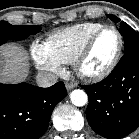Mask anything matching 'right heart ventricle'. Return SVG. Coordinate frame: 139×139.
I'll list each match as a JSON object with an SVG mask.
<instances>
[{"mask_svg":"<svg viewBox=\"0 0 139 139\" xmlns=\"http://www.w3.org/2000/svg\"><path fill=\"white\" fill-rule=\"evenodd\" d=\"M103 24L85 22L51 33L44 45L60 63L72 64L87 39Z\"/></svg>","mask_w":139,"mask_h":139,"instance_id":"e07e8e85","label":"right heart ventricle"}]
</instances>
